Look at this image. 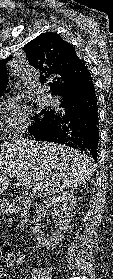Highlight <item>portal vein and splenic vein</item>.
<instances>
[{"label":"portal vein and splenic vein","mask_w":113,"mask_h":279,"mask_svg":"<svg viewBox=\"0 0 113 279\" xmlns=\"http://www.w3.org/2000/svg\"><path fill=\"white\" fill-rule=\"evenodd\" d=\"M7 174L10 177H17V180H18L19 184L24 186V187H28L30 185V182L27 178H24L23 176H20L16 172L7 171Z\"/></svg>","instance_id":"obj_1"}]
</instances>
